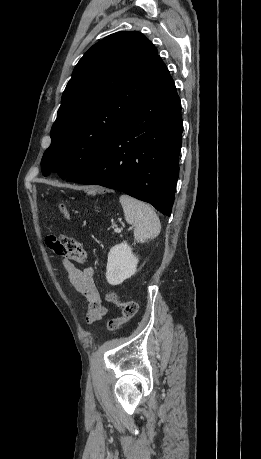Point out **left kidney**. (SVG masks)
<instances>
[{"label":"left kidney","mask_w":261,"mask_h":459,"mask_svg":"<svg viewBox=\"0 0 261 459\" xmlns=\"http://www.w3.org/2000/svg\"><path fill=\"white\" fill-rule=\"evenodd\" d=\"M139 260L127 242L113 246L108 254L106 279L110 285H119L137 271Z\"/></svg>","instance_id":"obj_1"}]
</instances>
